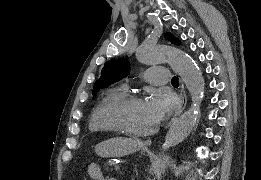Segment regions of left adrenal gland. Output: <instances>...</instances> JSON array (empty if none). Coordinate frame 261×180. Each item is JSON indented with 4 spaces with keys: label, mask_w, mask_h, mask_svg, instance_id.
I'll use <instances>...</instances> for the list:
<instances>
[{
    "label": "left adrenal gland",
    "mask_w": 261,
    "mask_h": 180,
    "mask_svg": "<svg viewBox=\"0 0 261 180\" xmlns=\"http://www.w3.org/2000/svg\"><path fill=\"white\" fill-rule=\"evenodd\" d=\"M136 176H138V174H137V168H136Z\"/></svg>",
    "instance_id": "left-adrenal-gland-1"
}]
</instances>
